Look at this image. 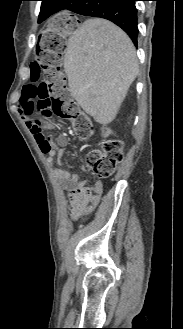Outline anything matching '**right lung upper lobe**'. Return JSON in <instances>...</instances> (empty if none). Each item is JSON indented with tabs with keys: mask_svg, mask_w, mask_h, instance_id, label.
Returning <instances> with one entry per match:
<instances>
[{
	"mask_svg": "<svg viewBox=\"0 0 183 329\" xmlns=\"http://www.w3.org/2000/svg\"><path fill=\"white\" fill-rule=\"evenodd\" d=\"M41 1H42V5L39 15V22L46 20L52 14L58 12V8L64 6L62 2L67 0H41Z\"/></svg>",
	"mask_w": 183,
	"mask_h": 329,
	"instance_id": "1",
	"label": "right lung upper lobe"
}]
</instances>
